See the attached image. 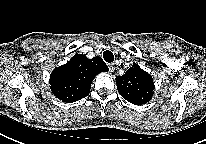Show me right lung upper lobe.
I'll return each mask as SVG.
<instances>
[{
    "mask_svg": "<svg viewBox=\"0 0 206 144\" xmlns=\"http://www.w3.org/2000/svg\"><path fill=\"white\" fill-rule=\"evenodd\" d=\"M103 71H108V67L101 57L88 59L76 54L50 74L51 90L63 102L78 101L89 94L94 77Z\"/></svg>",
    "mask_w": 206,
    "mask_h": 144,
    "instance_id": "right-lung-upper-lobe-1",
    "label": "right lung upper lobe"
}]
</instances>
